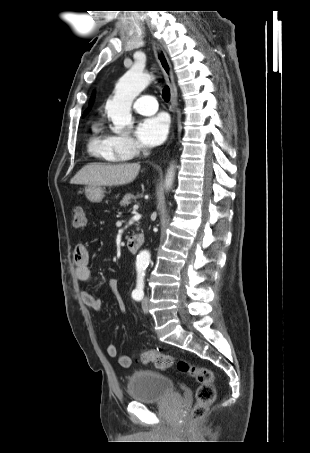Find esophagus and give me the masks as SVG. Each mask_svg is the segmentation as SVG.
Returning <instances> with one entry per match:
<instances>
[{"label": "esophagus", "mask_w": 310, "mask_h": 453, "mask_svg": "<svg viewBox=\"0 0 310 453\" xmlns=\"http://www.w3.org/2000/svg\"><path fill=\"white\" fill-rule=\"evenodd\" d=\"M153 46H154V51L157 56V60L164 73L166 82H167L168 86L170 87L171 105H172L173 110L175 111V106L177 103V88H176L175 81H174L171 63L167 57V54L165 53V51L162 49V47L158 43L154 42Z\"/></svg>", "instance_id": "esophagus-1"}]
</instances>
